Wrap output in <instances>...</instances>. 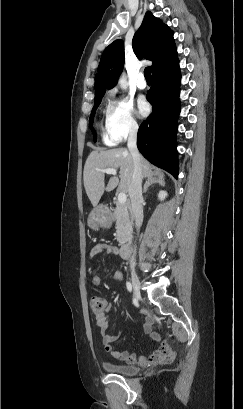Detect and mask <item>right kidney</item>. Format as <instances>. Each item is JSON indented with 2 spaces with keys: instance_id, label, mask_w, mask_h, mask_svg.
I'll list each match as a JSON object with an SVG mask.
<instances>
[{
  "instance_id": "right-kidney-1",
  "label": "right kidney",
  "mask_w": 243,
  "mask_h": 409,
  "mask_svg": "<svg viewBox=\"0 0 243 409\" xmlns=\"http://www.w3.org/2000/svg\"><path fill=\"white\" fill-rule=\"evenodd\" d=\"M167 192L166 191H164V190H161L160 192H159V194H158V198L160 199V200H164L166 197H167Z\"/></svg>"
}]
</instances>
